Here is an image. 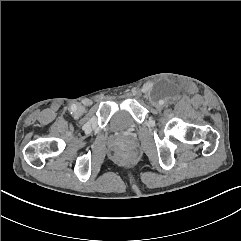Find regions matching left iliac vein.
I'll return each instance as SVG.
<instances>
[{
  "label": "left iliac vein",
  "instance_id": "4c4485c4",
  "mask_svg": "<svg viewBox=\"0 0 241 241\" xmlns=\"http://www.w3.org/2000/svg\"><path fill=\"white\" fill-rule=\"evenodd\" d=\"M155 106H156L157 108H159V107H160V105H159V104H155Z\"/></svg>",
  "mask_w": 241,
  "mask_h": 241
}]
</instances>
